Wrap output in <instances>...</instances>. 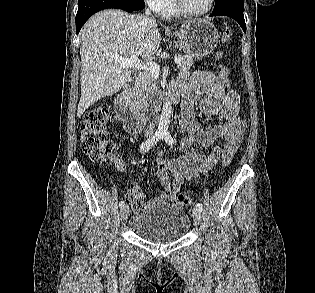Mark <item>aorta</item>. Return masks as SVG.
<instances>
[{"label":"aorta","mask_w":315,"mask_h":293,"mask_svg":"<svg viewBox=\"0 0 315 293\" xmlns=\"http://www.w3.org/2000/svg\"><path fill=\"white\" fill-rule=\"evenodd\" d=\"M171 112H172L171 102L167 101L163 105L161 116H160V121H159V126H158V129L160 131L166 132L168 130V127L170 124Z\"/></svg>","instance_id":"762f6f07"}]
</instances>
